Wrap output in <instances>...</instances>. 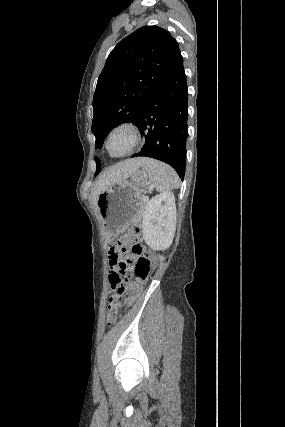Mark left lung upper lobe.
Segmentation results:
<instances>
[{
	"label": "left lung upper lobe",
	"instance_id": "obj_1",
	"mask_svg": "<svg viewBox=\"0 0 285 427\" xmlns=\"http://www.w3.org/2000/svg\"><path fill=\"white\" fill-rule=\"evenodd\" d=\"M181 55L177 41L157 26H144L109 54L93 97L92 133L101 148L117 125L135 123L157 86ZM100 172V160L95 158Z\"/></svg>",
	"mask_w": 285,
	"mask_h": 427
}]
</instances>
